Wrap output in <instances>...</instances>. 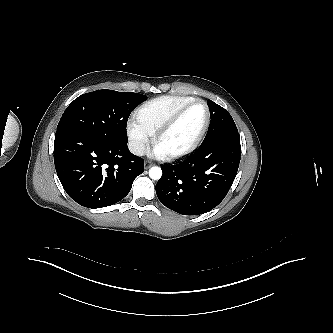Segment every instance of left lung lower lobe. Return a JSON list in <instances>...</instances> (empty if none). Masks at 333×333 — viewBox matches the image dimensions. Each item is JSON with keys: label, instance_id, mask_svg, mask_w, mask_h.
Segmentation results:
<instances>
[{"label": "left lung lower lobe", "instance_id": "obj_1", "mask_svg": "<svg viewBox=\"0 0 333 333\" xmlns=\"http://www.w3.org/2000/svg\"><path fill=\"white\" fill-rule=\"evenodd\" d=\"M240 163V141L221 136L202 142L185 161L162 166L156 194L163 205L184 215H199L227 195Z\"/></svg>", "mask_w": 333, "mask_h": 333}]
</instances>
